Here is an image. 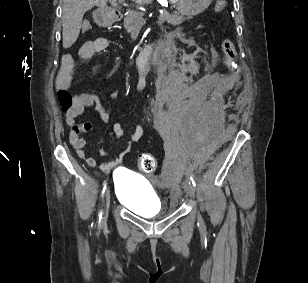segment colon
Returning <instances> with one entry per match:
<instances>
[{"label":"colon","mask_w":308,"mask_h":283,"mask_svg":"<svg viewBox=\"0 0 308 283\" xmlns=\"http://www.w3.org/2000/svg\"><path fill=\"white\" fill-rule=\"evenodd\" d=\"M227 6L226 0H216L215 10L217 12H221L225 10ZM91 30V24L87 21L82 24V31L84 33ZM223 53H224V63L226 67H231L236 58V49L234 43L231 39L227 38L223 42ZM58 100L63 107L64 110H69L73 106L74 99L71 94L67 90H59L58 91ZM90 125L88 123H79L72 127V132L79 136L81 133H86L89 131ZM139 168L145 172L150 173L153 172L157 167V161L155 157L151 154L144 153L140 155L138 159Z\"/></svg>","instance_id":"1"}]
</instances>
